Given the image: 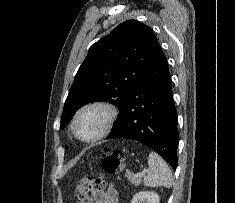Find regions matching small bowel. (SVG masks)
Instances as JSON below:
<instances>
[{
	"label": "small bowel",
	"mask_w": 235,
	"mask_h": 203,
	"mask_svg": "<svg viewBox=\"0 0 235 203\" xmlns=\"http://www.w3.org/2000/svg\"><path fill=\"white\" fill-rule=\"evenodd\" d=\"M119 194L113 185L108 186L104 194L93 201V203H118Z\"/></svg>",
	"instance_id": "obj_1"
}]
</instances>
